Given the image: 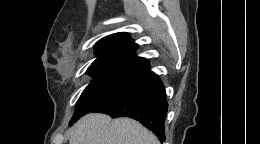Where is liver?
I'll return each instance as SVG.
<instances>
[{"label": "liver", "mask_w": 260, "mask_h": 144, "mask_svg": "<svg viewBox=\"0 0 260 144\" xmlns=\"http://www.w3.org/2000/svg\"><path fill=\"white\" fill-rule=\"evenodd\" d=\"M70 144H159L158 139L139 122L122 117L91 113L70 131Z\"/></svg>", "instance_id": "6515ba94"}]
</instances>
